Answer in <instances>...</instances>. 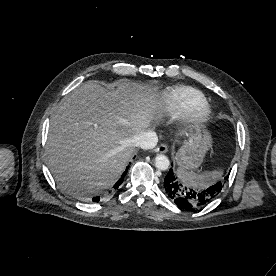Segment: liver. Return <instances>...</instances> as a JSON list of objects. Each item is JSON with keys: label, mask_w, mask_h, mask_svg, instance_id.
Returning <instances> with one entry per match:
<instances>
[{"label": "liver", "mask_w": 276, "mask_h": 276, "mask_svg": "<svg viewBox=\"0 0 276 276\" xmlns=\"http://www.w3.org/2000/svg\"><path fill=\"white\" fill-rule=\"evenodd\" d=\"M115 86L83 83L51 116L48 164L69 195L84 199L112 187L134 152L131 139L163 116L157 88L126 81Z\"/></svg>", "instance_id": "6515ba94"}]
</instances>
